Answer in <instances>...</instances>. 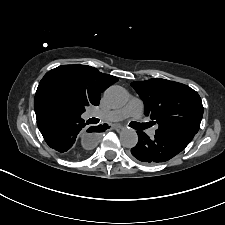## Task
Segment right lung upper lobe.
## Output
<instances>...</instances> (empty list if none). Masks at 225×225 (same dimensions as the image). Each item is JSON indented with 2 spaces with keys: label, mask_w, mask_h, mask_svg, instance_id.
Returning <instances> with one entry per match:
<instances>
[{
  "label": "right lung upper lobe",
  "mask_w": 225,
  "mask_h": 225,
  "mask_svg": "<svg viewBox=\"0 0 225 225\" xmlns=\"http://www.w3.org/2000/svg\"><path fill=\"white\" fill-rule=\"evenodd\" d=\"M115 76L103 74L87 65H62L45 74L35 98L42 97V89L50 83H60L78 95L88 105H98L100 94L117 82Z\"/></svg>",
  "instance_id": "right-lung-upper-lobe-1"
}]
</instances>
